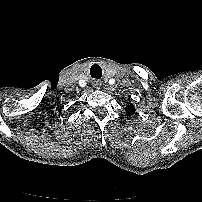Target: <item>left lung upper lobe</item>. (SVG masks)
Listing matches in <instances>:
<instances>
[{"mask_svg": "<svg viewBox=\"0 0 202 202\" xmlns=\"http://www.w3.org/2000/svg\"><path fill=\"white\" fill-rule=\"evenodd\" d=\"M134 112H135V107H134L132 104H130V105H128V106L126 107V113H127L128 115H133Z\"/></svg>", "mask_w": 202, "mask_h": 202, "instance_id": "5c2ea615", "label": "left lung upper lobe"}]
</instances>
